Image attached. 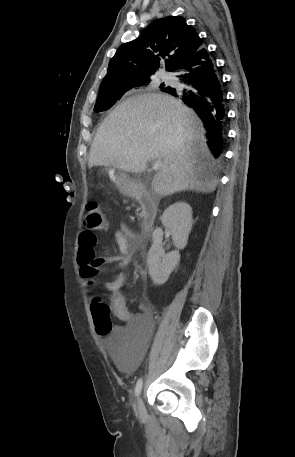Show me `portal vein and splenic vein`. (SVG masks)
Wrapping results in <instances>:
<instances>
[{
  "label": "portal vein and splenic vein",
  "instance_id": "18ae733b",
  "mask_svg": "<svg viewBox=\"0 0 295 457\" xmlns=\"http://www.w3.org/2000/svg\"><path fill=\"white\" fill-rule=\"evenodd\" d=\"M162 161L161 160H156L153 163V170H159L162 167Z\"/></svg>",
  "mask_w": 295,
  "mask_h": 457
}]
</instances>
